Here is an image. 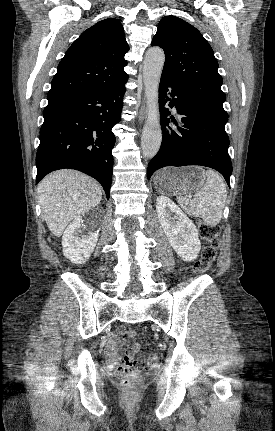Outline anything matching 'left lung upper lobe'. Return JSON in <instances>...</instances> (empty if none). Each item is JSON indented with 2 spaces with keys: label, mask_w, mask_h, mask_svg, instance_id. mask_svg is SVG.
<instances>
[{
  "label": "left lung upper lobe",
  "mask_w": 275,
  "mask_h": 431,
  "mask_svg": "<svg viewBox=\"0 0 275 431\" xmlns=\"http://www.w3.org/2000/svg\"><path fill=\"white\" fill-rule=\"evenodd\" d=\"M151 45L165 52L163 77L204 109L228 117L217 59L195 27L178 17L166 16L159 22Z\"/></svg>",
  "instance_id": "left-lung-upper-lobe-1"
}]
</instances>
